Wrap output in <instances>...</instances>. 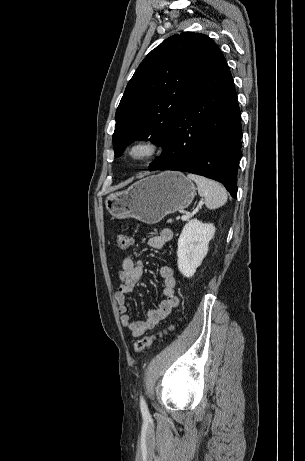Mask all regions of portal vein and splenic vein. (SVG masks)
Returning a JSON list of instances; mask_svg holds the SVG:
<instances>
[{
	"instance_id": "obj_1",
	"label": "portal vein and splenic vein",
	"mask_w": 305,
	"mask_h": 461,
	"mask_svg": "<svg viewBox=\"0 0 305 461\" xmlns=\"http://www.w3.org/2000/svg\"><path fill=\"white\" fill-rule=\"evenodd\" d=\"M202 204H203V202H200V203H199V207H200ZM190 216H192V215H182V216H181V219H182L183 221H187V220L189 219Z\"/></svg>"
}]
</instances>
